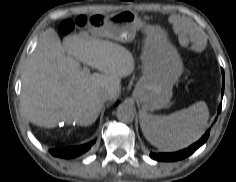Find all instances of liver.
I'll return each instance as SVG.
<instances>
[{
	"instance_id": "1",
	"label": "liver",
	"mask_w": 236,
	"mask_h": 182,
	"mask_svg": "<svg viewBox=\"0 0 236 182\" xmlns=\"http://www.w3.org/2000/svg\"><path fill=\"white\" fill-rule=\"evenodd\" d=\"M78 61L100 73L79 69ZM135 68L125 47L85 33L71 35L61 43L54 29L38 40L22 73L21 107L33 124L54 128L60 121L93 124L104 105L102 90L114 99L121 90V78Z\"/></svg>"
}]
</instances>
